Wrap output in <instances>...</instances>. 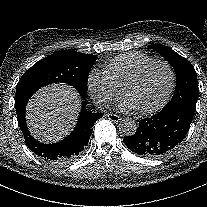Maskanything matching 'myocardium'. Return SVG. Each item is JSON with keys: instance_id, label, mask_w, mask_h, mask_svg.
<instances>
[{"instance_id": "obj_1", "label": "myocardium", "mask_w": 207, "mask_h": 207, "mask_svg": "<svg viewBox=\"0 0 207 207\" xmlns=\"http://www.w3.org/2000/svg\"><path fill=\"white\" fill-rule=\"evenodd\" d=\"M154 65H162L167 68V70L170 73V84H169L168 90H167L166 95H165L163 101L161 102V104L153 110L136 112V114L139 116L152 115V114L156 113L158 110H160L161 108L165 107L168 104V102L170 101L171 96H172L174 89H175L176 74H175V71H174L173 67L171 66V64L165 60H153V61L148 62L144 66H142L133 76H131L126 81V83L124 84V86L122 88V97L124 99H126L128 90L132 86H134L138 81H140L141 78L144 76V74Z\"/></svg>"}]
</instances>
